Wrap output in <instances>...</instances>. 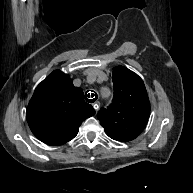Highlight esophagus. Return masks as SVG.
I'll return each mask as SVG.
<instances>
[{
	"mask_svg": "<svg viewBox=\"0 0 193 193\" xmlns=\"http://www.w3.org/2000/svg\"><path fill=\"white\" fill-rule=\"evenodd\" d=\"M89 93H90V97L91 96H94L93 98H95V96H96V100H95V103L93 104V108L96 110V111H98L99 110V108H100V103H99V101H98V96H99V94H98V92H91V91H89ZM93 98H90V99H93Z\"/></svg>",
	"mask_w": 193,
	"mask_h": 193,
	"instance_id": "obj_1",
	"label": "esophagus"
}]
</instances>
